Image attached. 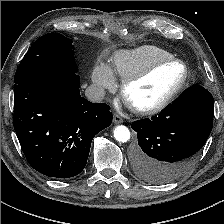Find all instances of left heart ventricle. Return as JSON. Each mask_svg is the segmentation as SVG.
I'll list each match as a JSON object with an SVG mask.
<instances>
[{
	"label": "left heart ventricle",
	"mask_w": 224,
	"mask_h": 224,
	"mask_svg": "<svg viewBox=\"0 0 224 224\" xmlns=\"http://www.w3.org/2000/svg\"><path fill=\"white\" fill-rule=\"evenodd\" d=\"M182 76L183 68L180 64L164 65L129 88L130 100L139 107L153 106L173 90Z\"/></svg>",
	"instance_id": "obj_1"
}]
</instances>
